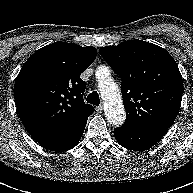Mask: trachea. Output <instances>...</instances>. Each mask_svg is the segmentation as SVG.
<instances>
[{
	"mask_svg": "<svg viewBox=\"0 0 193 193\" xmlns=\"http://www.w3.org/2000/svg\"><path fill=\"white\" fill-rule=\"evenodd\" d=\"M86 101H87V103L98 106L100 104L99 94L96 91L91 92L87 96Z\"/></svg>",
	"mask_w": 193,
	"mask_h": 193,
	"instance_id": "obj_1",
	"label": "trachea"
}]
</instances>
